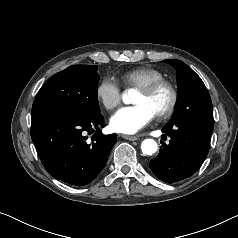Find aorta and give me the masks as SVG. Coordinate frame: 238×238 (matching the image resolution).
I'll return each instance as SVG.
<instances>
[{"label":"aorta","mask_w":238,"mask_h":238,"mask_svg":"<svg viewBox=\"0 0 238 238\" xmlns=\"http://www.w3.org/2000/svg\"><path fill=\"white\" fill-rule=\"evenodd\" d=\"M122 100L125 104L130 103V93H124ZM158 149L157 143L153 139H145L141 143V150L146 155H152L156 153Z\"/></svg>","instance_id":"1"}]
</instances>
